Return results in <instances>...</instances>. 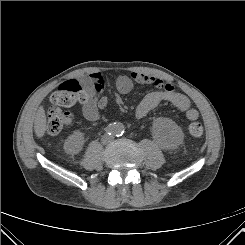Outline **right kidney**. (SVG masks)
<instances>
[{
	"mask_svg": "<svg viewBox=\"0 0 245 245\" xmlns=\"http://www.w3.org/2000/svg\"><path fill=\"white\" fill-rule=\"evenodd\" d=\"M84 145V134L76 130L65 141L64 149L67 153L76 154Z\"/></svg>",
	"mask_w": 245,
	"mask_h": 245,
	"instance_id": "ca27d5eb",
	"label": "right kidney"
}]
</instances>
